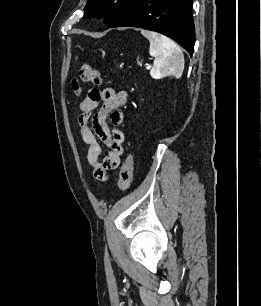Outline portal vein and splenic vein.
Listing matches in <instances>:
<instances>
[{"label":"portal vein and splenic vein","instance_id":"1","mask_svg":"<svg viewBox=\"0 0 261 306\" xmlns=\"http://www.w3.org/2000/svg\"><path fill=\"white\" fill-rule=\"evenodd\" d=\"M150 68H151V65H150V64H147V65H146V69L149 70Z\"/></svg>","mask_w":261,"mask_h":306}]
</instances>
